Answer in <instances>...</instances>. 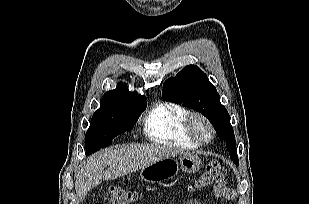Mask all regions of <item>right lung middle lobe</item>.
Wrapping results in <instances>:
<instances>
[{"label":"right lung middle lobe","mask_w":309,"mask_h":204,"mask_svg":"<svg viewBox=\"0 0 309 204\" xmlns=\"http://www.w3.org/2000/svg\"><path fill=\"white\" fill-rule=\"evenodd\" d=\"M146 99L122 100L101 105L92 116L85 137L87 155L111 143L112 139L129 132L146 109Z\"/></svg>","instance_id":"right-lung-middle-lobe-1"}]
</instances>
